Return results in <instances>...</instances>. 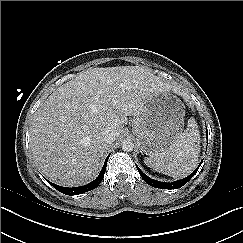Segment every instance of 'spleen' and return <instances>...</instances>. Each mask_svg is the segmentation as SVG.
I'll use <instances>...</instances> for the list:
<instances>
[{
  "label": "spleen",
  "mask_w": 243,
  "mask_h": 243,
  "mask_svg": "<svg viewBox=\"0 0 243 243\" xmlns=\"http://www.w3.org/2000/svg\"><path fill=\"white\" fill-rule=\"evenodd\" d=\"M200 134L196 121H188V128L174 142L157 154L144 159V163L157 172L174 178L185 177L198 165Z\"/></svg>",
  "instance_id": "obj_1"
}]
</instances>
